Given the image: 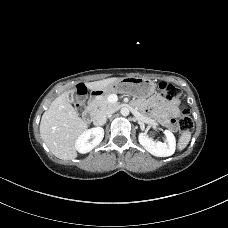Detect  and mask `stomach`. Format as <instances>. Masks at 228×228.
<instances>
[{"mask_svg": "<svg viewBox=\"0 0 228 228\" xmlns=\"http://www.w3.org/2000/svg\"><path fill=\"white\" fill-rule=\"evenodd\" d=\"M156 83L144 77H123L101 90L94 91L97 98L110 93H125L134 97L147 98L154 94Z\"/></svg>", "mask_w": 228, "mask_h": 228, "instance_id": "0dacf381", "label": "stomach"}]
</instances>
